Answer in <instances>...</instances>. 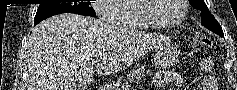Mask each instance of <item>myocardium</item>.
Returning <instances> with one entry per match:
<instances>
[{
  "label": "myocardium",
  "instance_id": "myocardium-1",
  "mask_svg": "<svg viewBox=\"0 0 237 90\" xmlns=\"http://www.w3.org/2000/svg\"><path fill=\"white\" fill-rule=\"evenodd\" d=\"M136 2L138 3L139 8H140L139 17L143 21V23L146 25L147 28H155V30L156 29L170 30V29L176 28L182 23L185 13H186V5L184 3H188L189 0L174 1L179 7V15H178L177 20L171 24H159L155 22L148 15L149 8H146V6H148L149 3H151V0H140Z\"/></svg>",
  "mask_w": 237,
  "mask_h": 90
}]
</instances>
